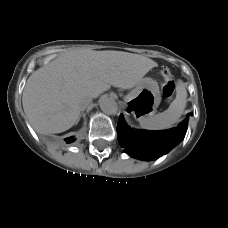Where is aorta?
<instances>
[{
  "instance_id": "obj_1",
  "label": "aorta",
  "mask_w": 228,
  "mask_h": 228,
  "mask_svg": "<svg viewBox=\"0 0 228 228\" xmlns=\"http://www.w3.org/2000/svg\"><path fill=\"white\" fill-rule=\"evenodd\" d=\"M101 110L106 114H116L118 111L117 102L109 96H102L99 100Z\"/></svg>"
}]
</instances>
